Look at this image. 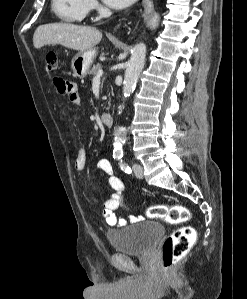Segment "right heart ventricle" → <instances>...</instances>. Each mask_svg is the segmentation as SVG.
Segmentation results:
<instances>
[{"label":"right heart ventricle","instance_id":"1","mask_svg":"<svg viewBox=\"0 0 247 299\" xmlns=\"http://www.w3.org/2000/svg\"><path fill=\"white\" fill-rule=\"evenodd\" d=\"M51 8L58 20L64 23H79L90 9L89 0H51Z\"/></svg>","mask_w":247,"mask_h":299}]
</instances>
